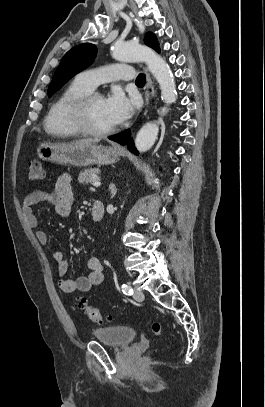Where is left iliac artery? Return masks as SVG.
I'll list each match as a JSON object with an SVG mask.
<instances>
[{
  "label": "left iliac artery",
  "mask_w": 265,
  "mask_h": 407,
  "mask_svg": "<svg viewBox=\"0 0 265 407\" xmlns=\"http://www.w3.org/2000/svg\"><path fill=\"white\" fill-rule=\"evenodd\" d=\"M122 291L126 295H132L133 294V289L131 288V286H128L126 284L122 285Z\"/></svg>",
  "instance_id": "obj_1"
}]
</instances>
